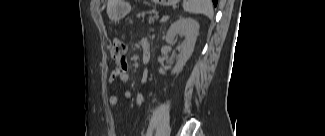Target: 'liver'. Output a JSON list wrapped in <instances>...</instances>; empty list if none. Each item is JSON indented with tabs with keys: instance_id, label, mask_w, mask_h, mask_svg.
I'll list each match as a JSON object with an SVG mask.
<instances>
[{
	"instance_id": "liver-1",
	"label": "liver",
	"mask_w": 325,
	"mask_h": 136,
	"mask_svg": "<svg viewBox=\"0 0 325 136\" xmlns=\"http://www.w3.org/2000/svg\"><path fill=\"white\" fill-rule=\"evenodd\" d=\"M115 3H116V0H108L107 14H108L109 18L112 20H113L112 11H113V7H114Z\"/></svg>"
}]
</instances>
